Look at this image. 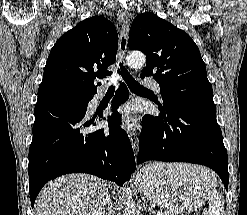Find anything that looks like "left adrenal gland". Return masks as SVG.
Instances as JSON below:
<instances>
[{"instance_id": "a2214340", "label": "left adrenal gland", "mask_w": 247, "mask_h": 215, "mask_svg": "<svg viewBox=\"0 0 247 215\" xmlns=\"http://www.w3.org/2000/svg\"><path fill=\"white\" fill-rule=\"evenodd\" d=\"M148 211H149V212H151V209H150V208H148Z\"/></svg>"}]
</instances>
